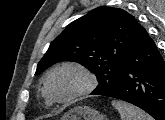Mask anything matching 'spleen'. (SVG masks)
<instances>
[{
    "instance_id": "1",
    "label": "spleen",
    "mask_w": 165,
    "mask_h": 120,
    "mask_svg": "<svg viewBox=\"0 0 165 120\" xmlns=\"http://www.w3.org/2000/svg\"><path fill=\"white\" fill-rule=\"evenodd\" d=\"M112 105L118 110L121 120H153V118L129 103L113 100Z\"/></svg>"
}]
</instances>
